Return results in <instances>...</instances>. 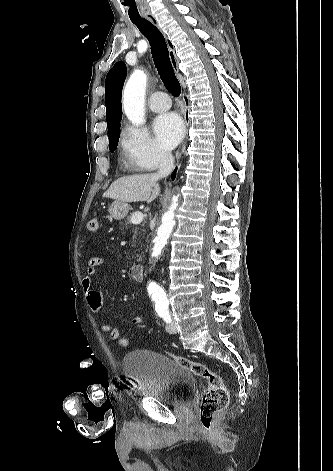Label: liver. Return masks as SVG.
<instances>
[{
  "instance_id": "liver-1",
  "label": "liver",
  "mask_w": 333,
  "mask_h": 471,
  "mask_svg": "<svg viewBox=\"0 0 333 471\" xmlns=\"http://www.w3.org/2000/svg\"><path fill=\"white\" fill-rule=\"evenodd\" d=\"M158 180L154 173L124 176L115 180L103 197L126 203L142 201L150 203L160 193Z\"/></svg>"
}]
</instances>
